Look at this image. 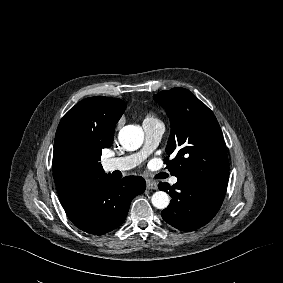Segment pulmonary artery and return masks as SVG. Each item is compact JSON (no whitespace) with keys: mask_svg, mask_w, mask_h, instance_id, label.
I'll use <instances>...</instances> for the list:
<instances>
[{"mask_svg":"<svg viewBox=\"0 0 283 283\" xmlns=\"http://www.w3.org/2000/svg\"><path fill=\"white\" fill-rule=\"evenodd\" d=\"M142 127L145 135L143 148L132 155L105 160L103 163L105 171H128L139 165L159 145L164 133V125L159 121H152L143 122ZM171 182L176 183L177 178L173 177Z\"/></svg>","mask_w":283,"mask_h":283,"instance_id":"obj_1","label":"pulmonary artery"}]
</instances>
